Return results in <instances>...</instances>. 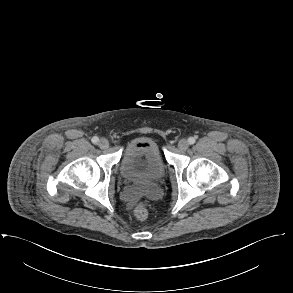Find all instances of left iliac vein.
Segmentation results:
<instances>
[{
	"label": "left iliac vein",
	"mask_w": 293,
	"mask_h": 293,
	"mask_svg": "<svg viewBox=\"0 0 293 293\" xmlns=\"http://www.w3.org/2000/svg\"><path fill=\"white\" fill-rule=\"evenodd\" d=\"M189 147V142L186 139H181L178 142V148L182 151L186 150Z\"/></svg>",
	"instance_id": "obj_1"
}]
</instances>
